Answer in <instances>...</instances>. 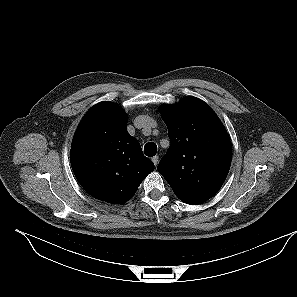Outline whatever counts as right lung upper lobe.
<instances>
[{"label":"right lung upper lobe","instance_id":"cb5924a9","mask_svg":"<svg viewBox=\"0 0 297 297\" xmlns=\"http://www.w3.org/2000/svg\"><path fill=\"white\" fill-rule=\"evenodd\" d=\"M126 127L122 108L100 102L84 115L71 144V166L81 186L94 198L112 204L132 198L154 170Z\"/></svg>","mask_w":297,"mask_h":297}]
</instances>
